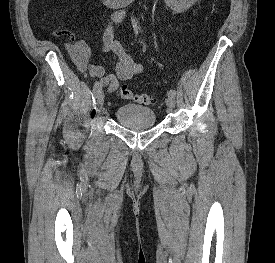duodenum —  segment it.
<instances>
[{
    "label": "duodenum",
    "instance_id": "obj_1",
    "mask_svg": "<svg viewBox=\"0 0 275 263\" xmlns=\"http://www.w3.org/2000/svg\"><path fill=\"white\" fill-rule=\"evenodd\" d=\"M105 6L108 7H124L131 4L134 0H101Z\"/></svg>",
    "mask_w": 275,
    "mask_h": 263
}]
</instances>
